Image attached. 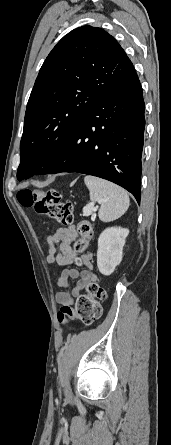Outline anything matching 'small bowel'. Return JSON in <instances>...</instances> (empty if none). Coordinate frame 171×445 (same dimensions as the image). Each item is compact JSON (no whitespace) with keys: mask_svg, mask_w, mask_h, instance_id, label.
<instances>
[{"mask_svg":"<svg viewBox=\"0 0 171 445\" xmlns=\"http://www.w3.org/2000/svg\"><path fill=\"white\" fill-rule=\"evenodd\" d=\"M75 238L74 228L71 226L60 227L46 238L49 250L46 256L48 265L57 263L65 265L74 259L78 254L70 250V244ZM84 270L74 268H64L55 278L57 286L63 288L55 295L57 303L60 305H72L75 299L81 294L85 287L96 280V275L91 271L92 262L89 255L83 256ZM70 279H76L74 287L70 286Z\"/></svg>","mask_w":171,"mask_h":445,"instance_id":"small-bowel-1","label":"small bowel"}]
</instances>
